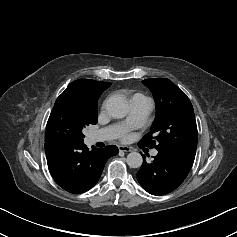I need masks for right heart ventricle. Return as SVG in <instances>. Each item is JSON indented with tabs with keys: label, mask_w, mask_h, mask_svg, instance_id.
I'll list each match as a JSON object with an SVG mask.
<instances>
[{
	"label": "right heart ventricle",
	"mask_w": 237,
	"mask_h": 237,
	"mask_svg": "<svg viewBox=\"0 0 237 237\" xmlns=\"http://www.w3.org/2000/svg\"><path fill=\"white\" fill-rule=\"evenodd\" d=\"M135 97H143V98H145L142 94L136 93V94H134V95L131 96L130 100H131L132 98H135Z\"/></svg>",
	"instance_id": "right-heart-ventricle-1"
}]
</instances>
